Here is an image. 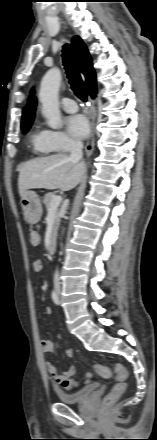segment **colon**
I'll use <instances>...</instances> for the list:
<instances>
[{
	"mask_svg": "<svg viewBox=\"0 0 157 440\" xmlns=\"http://www.w3.org/2000/svg\"><path fill=\"white\" fill-rule=\"evenodd\" d=\"M29 242L32 247H38L40 245L41 239L40 235L36 231H31L29 234ZM36 268L42 267V261L36 260L33 264ZM114 374L116 377V384L112 387L110 392L104 397L102 401V405L104 407H109L113 403L117 401V399L125 392L127 388V381H128V372L127 370L120 364H116L114 366ZM111 375V370L109 367L102 365V364H96L93 367V372L88 373L85 378V382H87L89 379H91L93 376H98L102 378H107ZM63 387L67 390H74L79 387L80 382L73 378H68L64 380Z\"/></svg>",
	"mask_w": 157,
	"mask_h": 440,
	"instance_id": "colon-1",
	"label": "colon"
}]
</instances>
